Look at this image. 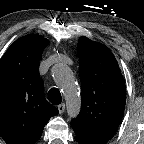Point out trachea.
<instances>
[{
	"mask_svg": "<svg viewBox=\"0 0 144 144\" xmlns=\"http://www.w3.org/2000/svg\"><path fill=\"white\" fill-rule=\"evenodd\" d=\"M48 100L54 104L59 105L62 101L61 94L57 88H51L48 92Z\"/></svg>",
	"mask_w": 144,
	"mask_h": 144,
	"instance_id": "trachea-1",
	"label": "trachea"
}]
</instances>
